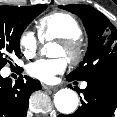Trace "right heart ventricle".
Wrapping results in <instances>:
<instances>
[{"label": "right heart ventricle", "instance_id": "1", "mask_svg": "<svg viewBox=\"0 0 117 117\" xmlns=\"http://www.w3.org/2000/svg\"><path fill=\"white\" fill-rule=\"evenodd\" d=\"M39 38L41 41L52 39H77L82 34L77 19L66 12H53L39 19L37 23Z\"/></svg>", "mask_w": 117, "mask_h": 117}]
</instances>
